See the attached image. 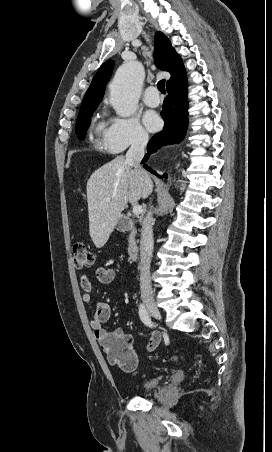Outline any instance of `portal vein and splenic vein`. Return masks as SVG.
Listing matches in <instances>:
<instances>
[{
  "mask_svg": "<svg viewBox=\"0 0 272 452\" xmlns=\"http://www.w3.org/2000/svg\"><path fill=\"white\" fill-rule=\"evenodd\" d=\"M111 198H106V201H110ZM133 214L134 215H140L143 212V208L140 205H134L133 206Z\"/></svg>",
  "mask_w": 272,
  "mask_h": 452,
  "instance_id": "portal-vein-and-splenic-vein-1",
  "label": "portal vein and splenic vein"
}]
</instances>
